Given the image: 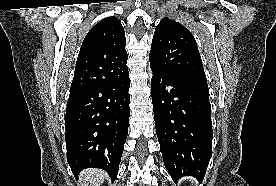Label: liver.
Listing matches in <instances>:
<instances>
[{
    "label": "liver",
    "mask_w": 276,
    "mask_h": 186,
    "mask_svg": "<svg viewBox=\"0 0 276 186\" xmlns=\"http://www.w3.org/2000/svg\"><path fill=\"white\" fill-rule=\"evenodd\" d=\"M83 183L81 186H100L106 178V173L99 169L86 170L81 176Z\"/></svg>",
    "instance_id": "1"
}]
</instances>
